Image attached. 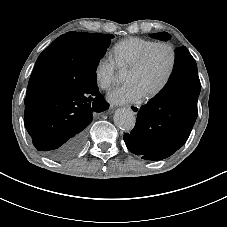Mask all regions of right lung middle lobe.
I'll return each mask as SVG.
<instances>
[{"label":"right lung middle lobe","mask_w":227,"mask_h":227,"mask_svg":"<svg viewBox=\"0 0 227 227\" xmlns=\"http://www.w3.org/2000/svg\"><path fill=\"white\" fill-rule=\"evenodd\" d=\"M113 37L111 34L68 32L39 55L33 71L45 76L52 86L66 91L95 87L99 60Z\"/></svg>","instance_id":"1"}]
</instances>
